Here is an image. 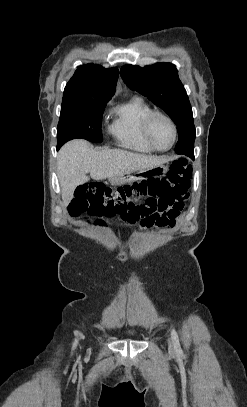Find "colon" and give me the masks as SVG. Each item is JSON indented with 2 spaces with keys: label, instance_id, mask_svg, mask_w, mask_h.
I'll return each mask as SVG.
<instances>
[{
  "label": "colon",
  "instance_id": "5ec220e1",
  "mask_svg": "<svg viewBox=\"0 0 247 407\" xmlns=\"http://www.w3.org/2000/svg\"><path fill=\"white\" fill-rule=\"evenodd\" d=\"M191 177L192 166L186 160L179 159L172 163L165 176L131 186L111 188L101 183L80 186L68 211L74 217L81 214L114 217L136 209L148 197L169 202L183 201L188 195ZM134 195L142 199L135 200ZM97 223L103 224L101 221Z\"/></svg>",
  "mask_w": 247,
  "mask_h": 407
}]
</instances>
